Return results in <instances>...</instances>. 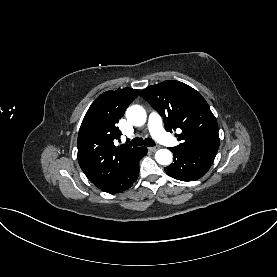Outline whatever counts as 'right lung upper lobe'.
Segmentation results:
<instances>
[{
  "label": "right lung upper lobe",
  "instance_id": "right-lung-upper-lobe-1",
  "mask_svg": "<svg viewBox=\"0 0 277 277\" xmlns=\"http://www.w3.org/2000/svg\"><path fill=\"white\" fill-rule=\"evenodd\" d=\"M139 92L132 88L104 92L82 121L77 141L78 162L99 189L113 180L138 150L127 145L116 147L114 140L122 134L116 124Z\"/></svg>",
  "mask_w": 277,
  "mask_h": 277
}]
</instances>
